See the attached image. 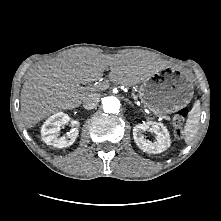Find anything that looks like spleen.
<instances>
[{
    "instance_id": "spleen-1",
    "label": "spleen",
    "mask_w": 221,
    "mask_h": 221,
    "mask_svg": "<svg viewBox=\"0 0 221 221\" xmlns=\"http://www.w3.org/2000/svg\"><path fill=\"white\" fill-rule=\"evenodd\" d=\"M200 113V107L196 103L189 113L187 122L183 130L184 141L186 144H190L196 137L199 129Z\"/></svg>"
}]
</instances>
